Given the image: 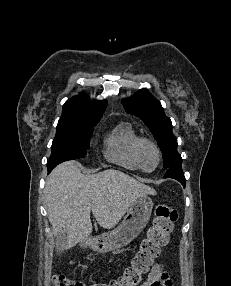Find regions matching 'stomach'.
Here are the masks:
<instances>
[{
  "mask_svg": "<svg viewBox=\"0 0 231 286\" xmlns=\"http://www.w3.org/2000/svg\"><path fill=\"white\" fill-rule=\"evenodd\" d=\"M153 201L147 195L138 197L127 211L121 224L112 231L90 237L80 242V247L100 253L114 251L132 242L147 225Z\"/></svg>",
  "mask_w": 231,
  "mask_h": 286,
  "instance_id": "0dacf381",
  "label": "stomach"
}]
</instances>
